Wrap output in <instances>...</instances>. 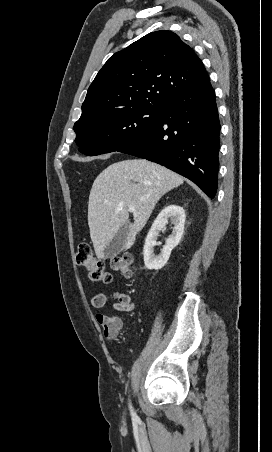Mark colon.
Listing matches in <instances>:
<instances>
[{
	"label": "colon",
	"mask_w": 272,
	"mask_h": 452,
	"mask_svg": "<svg viewBox=\"0 0 272 452\" xmlns=\"http://www.w3.org/2000/svg\"><path fill=\"white\" fill-rule=\"evenodd\" d=\"M76 263L87 270L89 278L96 283H110L112 275L105 269L102 262L98 261L88 243H81L76 253ZM112 268L124 277H130L133 272L132 257L129 254L117 257L112 262Z\"/></svg>",
	"instance_id": "obj_1"
}]
</instances>
